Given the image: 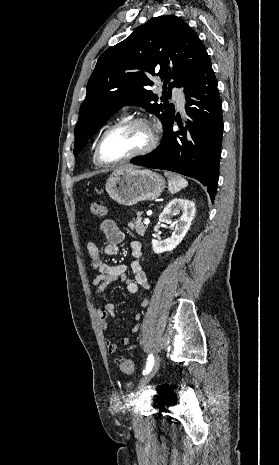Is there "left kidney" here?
<instances>
[{"label":"left kidney","mask_w":279,"mask_h":465,"mask_svg":"<svg viewBox=\"0 0 279 465\" xmlns=\"http://www.w3.org/2000/svg\"><path fill=\"white\" fill-rule=\"evenodd\" d=\"M180 213V218L172 223L171 218ZM195 213L196 207L193 201L183 198H175L171 200L160 214L159 221L166 224H172L175 228L171 237L166 240L152 239L154 253L160 254L174 250L187 234Z\"/></svg>","instance_id":"left-kidney-1"}]
</instances>
